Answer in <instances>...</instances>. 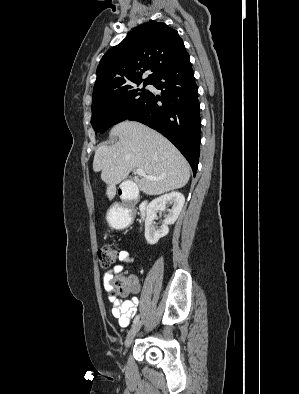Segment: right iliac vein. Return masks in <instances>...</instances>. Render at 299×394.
<instances>
[{"label": "right iliac vein", "mask_w": 299, "mask_h": 394, "mask_svg": "<svg viewBox=\"0 0 299 394\" xmlns=\"http://www.w3.org/2000/svg\"><path fill=\"white\" fill-rule=\"evenodd\" d=\"M141 322H137L136 324L133 325V327L130 329V331L127 334L126 340H125V348L126 350L129 348L131 345L132 341L134 340L135 336L139 332L141 328Z\"/></svg>", "instance_id": "63e3f726"}]
</instances>
